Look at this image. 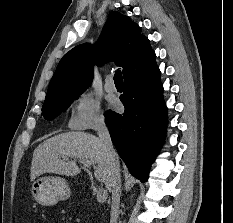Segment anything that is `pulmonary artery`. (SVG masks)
Wrapping results in <instances>:
<instances>
[{
  "instance_id": "pulmonary-artery-1",
  "label": "pulmonary artery",
  "mask_w": 233,
  "mask_h": 223,
  "mask_svg": "<svg viewBox=\"0 0 233 223\" xmlns=\"http://www.w3.org/2000/svg\"><path fill=\"white\" fill-rule=\"evenodd\" d=\"M106 90L110 93L116 92V86L113 83V78L112 76H108L106 80Z\"/></svg>"
}]
</instances>
